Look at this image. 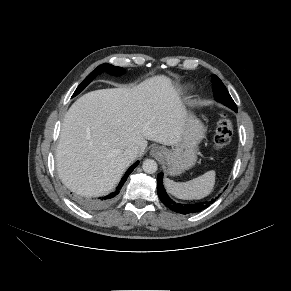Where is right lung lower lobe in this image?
Here are the masks:
<instances>
[{
    "label": "right lung lower lobe",
    "mask_w": 291,
    "mask_h": 291,
    "mask_svg": "<svg viewBox=\"0 0 291 291\" xmlns=\"http://www.w3.org/2000/svg\"><path fill=\"white\" fill-rule=\"evenodd\" d=\"M139 164V161H137L136 163H134L125 173V175L123 176V178L121 179L118 187L116 188L115 191H113L112 193H110L109 195L105 196V197H101L98 198L96 200H83L82 203L89 207V208H101L104 206L109 205L111 202H113L116 197L118 196V194L120 193V190L122 188V186L124 185L127 177L129 176V174L134 170V168H136V166Z\"/></svg>",
    "instance_id": "1"
}]
</instances>
